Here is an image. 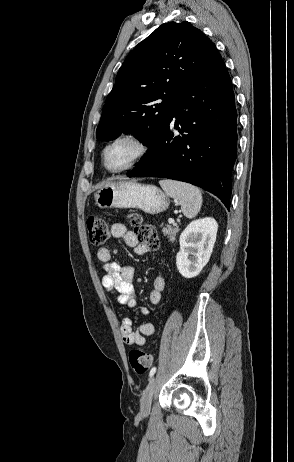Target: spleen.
Masks as SVG:
<instances>
[{
	"mask_svg": "<svg viewBox=\"0 0 294 462\" xmlns=\"http://www.w3.org/2000/svg\"><path fill=\"white\" fill-rule=\"evenodd\" d=\"M159 184L168 196L181 204L182 212L187 218L198 214L202 206V194L197 187L167 179L159 181Z\"/></svg>",
	"mask_w": 294,
	"mask_h": 462,
	"instance_id": "1",
	"label": "spleen"
}]
</instances>
